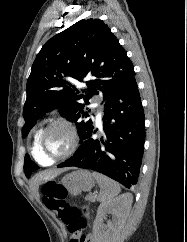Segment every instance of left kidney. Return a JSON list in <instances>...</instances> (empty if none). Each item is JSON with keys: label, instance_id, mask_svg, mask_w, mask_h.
Listing matches in <instances>:
<instances>
[{"label": "left kidney", "instance_id": "left-kidney-1", "mask_svg": "<svg viewBox=\"0 0 187 242\" xmlns=\"http://www.w3.org/2000/svg\"><path fill=\"white\" fill-rule=\"evenodd\" d=\"M132 202V194L125 193L100 204L93 224L95 242H116L129 215ZM107 214H112V221L105 225L103 221Z\"/></svg>", "mask_w": 187, "mask_h": 242}]
</instances>
